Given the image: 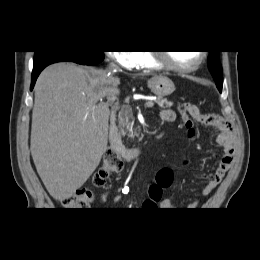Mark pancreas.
<instances>
[{
  "label": "pancreas",
  "mask_w": 260,
  "mask_h": 260,
  "mask_svg": "<svg viewBox=\"0 0 260 260\" xmlns=\"http://www.w3.org/2000/svg\"><path fill=\"white\" fill-rule=\"evenodd\" d=\"M155 102L161 108H170L172 107L173 103L168 101L167 99L158 98ZM132 117V110L129 106H123L118 115V125L122 129V134H125L124 128L126 127L130 130V122L129 119ZM136 134H133L131 131L130 137H134Z\"/></svg>",
  "instance_id": "cf45deb5"
}]
</instances>
